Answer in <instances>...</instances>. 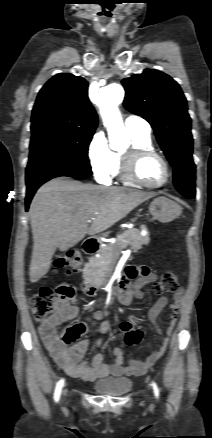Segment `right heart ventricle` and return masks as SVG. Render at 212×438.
Segmentation results:
<instances>
[{
    "label": "right heart ventricle",
    "mask_w": 212,
    "mask_h": 438,
    "mask_svg": "<svg viewBox=\"0 0 212 438\" xmlns=\"http://www.w3.org/2000/svg\"><path fill=\"white\" fill-rule=\"evenodd\" d=\"M130 137L132 140V145L134 147L153 149L152 139L150 135L143 136V135L130 133ZM113 157H114V169L112 172V176H119L121 178H124L122 176V169H121L123 154L120 152H113Z\"/></svg>",
    "instance_id": "obj_1"
}]
</instances>
